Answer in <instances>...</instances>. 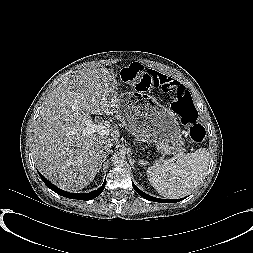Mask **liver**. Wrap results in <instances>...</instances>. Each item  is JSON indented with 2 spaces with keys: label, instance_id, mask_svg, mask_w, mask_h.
Returning <instances> with one entry per match:
<instances>
[{
  "label": "liver",
  "instance_id": "1",
  "mask_svg": "<svg viewBox=\"0 0 253 253\" xmlns=\"http://www.w3.org/2000/svg\"><path fill=\"white\" fill-rule=\"evenodd\" d=\"M117 81L107 68L81 69L49 95L33 125L32 155L38 170L64 190L87 187L106 145L117 137L84 134L83 119L117 115Z\"/></svg>",
  "mask_w": 253,
  "mask_h": 253
}]
</instances>
